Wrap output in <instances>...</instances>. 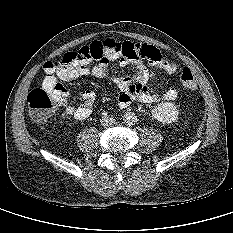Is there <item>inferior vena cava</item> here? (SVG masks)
Listing matches in <instances>:
<instances>
[{
  "label": "inferior vena cava",
  "mask_w": 233,
  "mask_h": 233,
  "mask_svg": "<svg viewBox=\"0 0 233 233\" xmlns=\"http://www.w3.org/2000/svg\"><path fill=\"white\" fill-rule=\"evenodd\" d=\"M115 121L116 119L114 118V116H111V115H106L100 119L101 125L105 127L113 125Z\"/></svg>",
  "instance_id": "602c4592"
}]
</instances>
